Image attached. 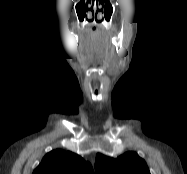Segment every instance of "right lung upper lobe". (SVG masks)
I'll use <instances>...</instances> for the list:
<instances>
[{"label":"right lung upper lobe","instance_id":"1","mask_svg":"<svg viewBox=\"0 0 187 174\" xmlns=\"http://www.w3.org/2000/svg\"><path fill=\"white\" fill-rule=\"evenodd\" d=\"M33 174H94L92 166L70 151L60 149L46 154Z\"/></svg>","mask_w":187,"mask_h":174}]
</instances>
